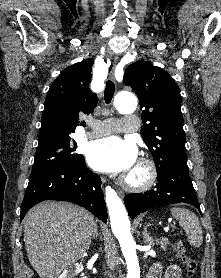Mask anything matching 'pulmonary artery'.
I'll use <instances>...</instances> for the list:
<instances>
[{
    "mask_svg": "<svg viewBox=\"0 0 221 278\" xmlns=\"http://www.w3.org/2000/svg\"><path fill=\"white\" fill-rule=\"evenodd\" d=\"M138 119L135 116H126L123 119L110 118L102 122H90L91 131L88 136L91 138L111 134L120 130L134 131L137 128Z\"/></svg>",
    "mask_w": 221,
    "mask_h": 278,
    "instance_id": "e3ab8cb5",
    "label": "pulmonary artery"
}]
</instances>
